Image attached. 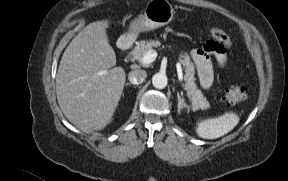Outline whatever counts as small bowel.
<instances>
[{
    "instance_id": "small-bowel-1",
    "label": "small bowel",
    "mask_w": 288,
    "mask_h": 181,
    "mask_svg": "<svg viewBox=\"0 0 288 181\" xmlns=\"http://www.w3.org/2000/svg\"><path fill=\"white\" fill-rule=\"evenodd\" d=\"M208 52L213 55L218 67L221 69L225 67L227 61L224 52L210 48L209 44L205 50L195 49L191 52V57L198 69L200 85L204 89H209L214 81L213 64Z\"/></svg>"
}]
</instances>
